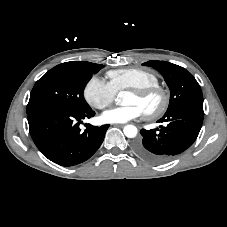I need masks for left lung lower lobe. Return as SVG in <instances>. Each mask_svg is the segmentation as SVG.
I'll use <instances>...</instances> for the list:
<instances>
[{"instance_id": "0a47b994", "label": "left lung lower lobe", "mask_w": 227, "mask_h": 227, "mask_svg": "<svg viewBox=\"0 0 227 227\" xmlns=\"http://www.w3.org/2000/svg\"><path fill=\"white\" fill-rule=\"evenodd\" d=\"M203 108L185 107L165 113L159 122L166 126L145 130L135 142L134 150L143 159L164 163L189 148L196 140L203 123Z\"/></svg>"}]
</instances>
